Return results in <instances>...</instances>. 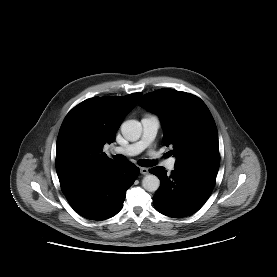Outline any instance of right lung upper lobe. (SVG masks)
Returning a JSON list of instances; mask_svg holds the SVG:
<instances>
[{
    "label": "right lung upper lobe",
    "mask_w": 277,
    "mask_h": 277,
    "mask_svg": "<svg viewBox=\"0 0 277 277\" xmlns=\"http://www.w3.org/2000/svg\"><path fill=\"white\" fill-rule=\"evenodd\" d=\"M142 93L124 97H94L75 106L65 117L57 138L56 171L61 185L114 163L102 152L113 142L125 116Z\"/></svg>",
    "instance_id": "right-lung-upper-lobe-1"
}]
</instances>
